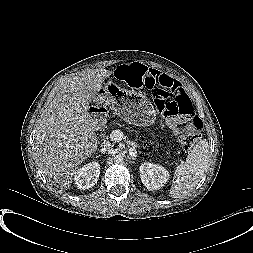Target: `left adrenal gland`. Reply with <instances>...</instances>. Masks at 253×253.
I'll return each instance as SVG.
<instances>
[{
	"label": "left adrenal gland",
	"instance_id": "a2214340",
	"mask_svg": "<svg viewBox=\"0 0 253 253\" xmlns=\"http://www.w3.org/2000/svg\"><path fill=\"white\" fill-rule=\"evenodd\" d=\"M130 159L135 160L136 158H135V157H133V156H130Z\"/></svg>",
	"mask_w": 253,
	"mask_h": 253
}]
</instances>
